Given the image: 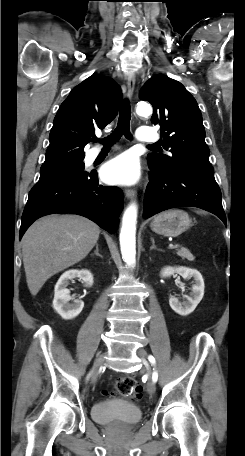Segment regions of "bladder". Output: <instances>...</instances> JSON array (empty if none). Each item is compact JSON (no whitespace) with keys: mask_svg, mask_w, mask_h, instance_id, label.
Masks as SVG:
<instances>
[{"mask_svg":"<svg viewBox=\"0 0 245 456\" xmlns=\"http://www.w3.org/2000/svg\"><path fill=\"white\" fill-rule=\"evenodd\" d=\"M91 417L101 424L133 425L141 420L142 411L127 400L111 399L95 403L91 408Z\"/></svg>","mask_w":245,"mask_h":456,"instance_id":"obj_1","label":"bladder"}]
</instances>
